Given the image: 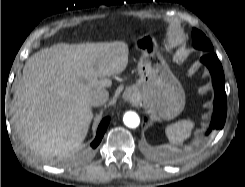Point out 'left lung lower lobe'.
<instances>
[{
    "label": "left lung lower lobe",
    "instance_id": "0a47b994",
    "mask_svg": "<svg viewBox=\"0 0 245 187\" xmlns=\"http://www.w3.org/2000/svg\"><path fill=\"white\" fill-rule=\"evenodd\" d=\"M201 62L204 63L211 75L212 83L214 86L215 99H214V112L210 123V128L207 131V135L214 129H222L227 113V98L225 92V77L222 69V65L213 52L207 53L201 58ZM146 120V119H145Z\"/></svg>",
    "mask_w": 245,
    "mask_h": 187
}]
</instances>
